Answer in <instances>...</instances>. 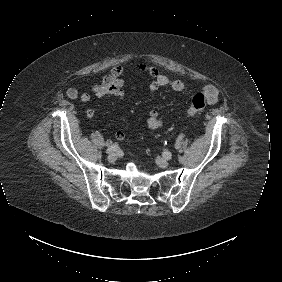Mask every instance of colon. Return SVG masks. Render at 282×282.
I'll return each mask as SVG.
<instances>
[{"instance_id":"1","label":"colon","mask_w":282,"mask_h":282,"mask_svg":"<svg viewBox=\"0 0 282 282\" xmlns=\"http://www.w3.org/2000/svg\"><path fill=\"white\" fill-rule=\"evenodd\" d=\"M207 104H208V100L205 94L203 93L195 94L194 97L192 98L191 105L187 110V115L189 117H192L200 114Z\"/></svg>"}]
</instances>
